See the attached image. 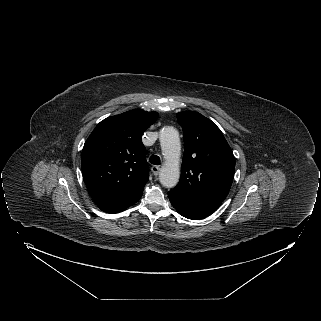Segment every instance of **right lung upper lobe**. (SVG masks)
Masks as SVG:
<instances>
[{
    "label": "right lung upper lobe",
    "instance_id": "cb5924a9",
    "mask_svg": "<svg viewBox=\"0 0 321 321\" xmlns=\"http://www.w3.org/2000/svg\"><path fill=\"white\" fill-rule=\"evenodd\" d=\"M157 112L130 110L101 121L81 154L82 175L88 192L104 212L119 213L136 203L148 181L142 133Z\"/></svg>",
    "mask_w": 321,
    "mask_h": 321
}]
</instances>
